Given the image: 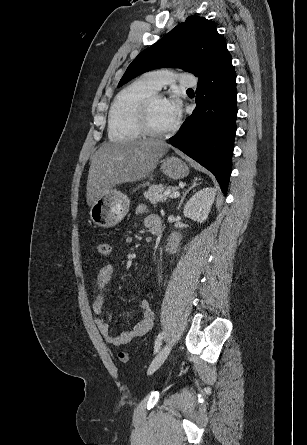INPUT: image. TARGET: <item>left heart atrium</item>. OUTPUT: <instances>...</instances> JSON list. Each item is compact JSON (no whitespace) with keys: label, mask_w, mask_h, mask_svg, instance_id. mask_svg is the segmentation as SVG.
Here are the masks:
<instances>
[{"label":"left heart atrium","mask_w":307,"mask_h":445,"mask_svg":"<svg viewBox=\"0 0 307 445\" xmlns=\"http://www.w3.org/2000/svg\"><path fill=\"white\" fill-rule=\"evenodd\" d=\"M167 115L173 121H176L181 115V102L176 95L164 99Z\"/></svg>","instance_id":"left-heart-atrium-1"}]
</instances>
